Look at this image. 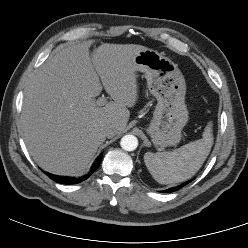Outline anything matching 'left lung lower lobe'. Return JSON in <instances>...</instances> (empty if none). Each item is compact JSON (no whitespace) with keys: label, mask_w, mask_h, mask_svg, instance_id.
I'll return each mask as SVG.
<instances>
[{"label":"left lung lower lobe","mask_w":248,"mask_h":248,"mask_svg":"<svg viewBox=\"0 0 248 248\" xmlns=\"http://www.w3.org/2000/svg\"><path fill=\"white\" fill-rule=\"evenodd\" d=\"M191 181H192V180H191ZM189 182H190V181L185 182V183H183V184H181V185H179V186H176V187H173V188H169V189L167 190V192H174V191H177V190L181 189L182 187H184L185 185H187Z\"/></svg>","instance_id":"obj_1"}]
</instances>
